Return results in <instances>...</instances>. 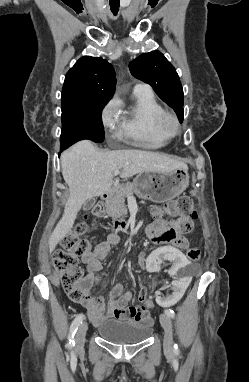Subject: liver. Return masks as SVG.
Instances as JSON below:
<instances>
[{"mask_svg": "<svg viewBox=\"0 0 249 382\" xmlns=\"http://www.w3.org/2000/svg\"><path fill=\"white\" fill-rule=\"evenodd\" d=\"M61 167L70 195L63 216L49 238L50 253L71 230L82 205L111 190L115 170H121V178H128L141 172L188 169L184 162L160 153L136 149L101 151L89 140L79 141L65 151Z\"/></svg>", "mask_w": 249, "mask_h": 382, "instance_id": "6515ba94", "label": "liver"}]
</instances>
